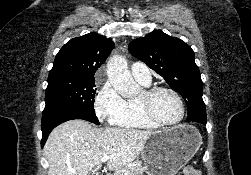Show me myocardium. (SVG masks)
<instances>
[{"mask_svg":"<svg viewBox=\"0 0 251 175\" xmlns=\"http://www.w3.org/2000/svg\"><path fill=\"white\" fill-rule=\"evenodd\" d=\"M160 91H170L175 94V96L177 97V99L181 105V108H182V116H181L180 120L175 124H165V123L161 122L156 117V115L153 113L149 103L137 102V107H138L140 113L143 116H145L156 127L166 128V129H175V128L181 127L186 122L187 115H188L187 106L185 104L183 95L177 89L170 87V86H166V85L152 86V87L145 88L143 90V93L145 94V96L148 99H151L155 94H157Z\"/></svg>","mask_w":251,"mask_h":175,"instance_id":"myocardium-1","label":"myocardium"}]
</instances>
